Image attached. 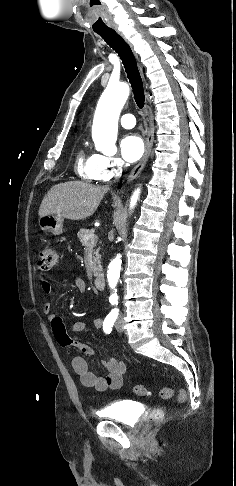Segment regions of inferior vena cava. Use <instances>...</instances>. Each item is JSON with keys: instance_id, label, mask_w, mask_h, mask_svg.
<instances>
[{"instance_id": "1", "label": "inferior vena cava", "mask_w": 236, "mask_h": 486, "mask_svg": "<svg viewBox=\"0 0 236 486\" xmlns=\"http://www.w3.org/2000/svg\"><path fill=\"white\" fill-rule=\"evenodd\" d=\"M123 163H124V162L122 161V162L120 163V166H122V165H123ZM106 188H108V186H106Z\"/></svg>"}]
</instances>
